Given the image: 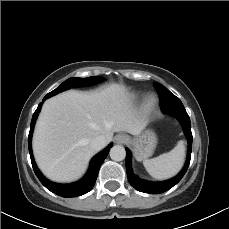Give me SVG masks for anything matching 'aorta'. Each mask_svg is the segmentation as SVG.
<instances>
[{"label":"aorta","mask_w":229,"mask_h":229,"mask_svg":"<svg viewBox=\"0 0 229 229\" xmlns=\"http://www.w3.org/2000/svg\"><path fill=\"white\" fill-rule=\"evenodd\" d=\"M126 151L123 146L115 145L110 150V158L114 161H122L125 159Z\"/></svg>","instance_id":"1"}]
</instances>
